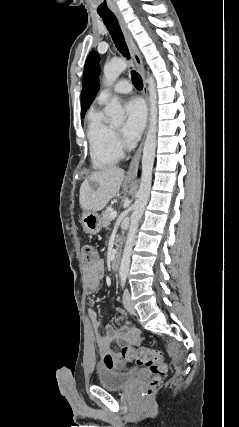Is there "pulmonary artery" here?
<instances>
[{
  "instance_id": "e3ab8cb5",
  "label": "pulmonary artery",
  "mask_w": 239,
  "mask_h": 427,
  "mask_svg": "<svg viewBox=\"0 0 239 427\" xmlns=\"http://www.w3.org/2000/svg\"><path fill=\"white\" fill-rule=\"evenodd\" d=\"M131 90L132 86L127 80H120L114 85L112 89H104L100 92L98 96V103L104 104L109 101L113 95L128 94L131 92Z\"/></svg>"
}]
</instances>
